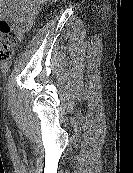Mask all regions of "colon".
Returning a JSON list of instances; mask_svg holds the SVG:
<instances>
[{
	"mask_svg": "<svg viewBox=\"0 0 133 173\" xmlns=\"http://www.w3.org/2000/svg\"><path fill=\"white\" fill-rule=\"evenodd\" d=\"M16 44V34L6 21L0 20V60H9L13 56Z\"/></svg>",
	"mask_w": 133,
	"mask_h": 173,
	"instance_id": "1",
	"label": "colon"
}]
</instances>
